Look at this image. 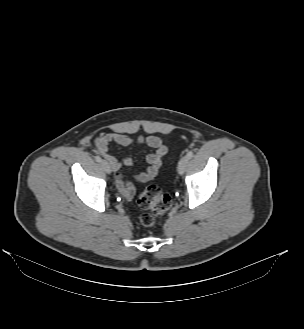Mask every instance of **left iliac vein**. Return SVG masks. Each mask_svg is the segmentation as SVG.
<instances>
[{
  "mask_svg": "<svg viewBox=\"0 0 304 329\" xmlns=\"http://www.w3.org/2000/svg\"><path fill=\"white\" fill-rule=\"evenodd\" d=\"M188 157L187 156H183L181 159H180V161H179V163H178V168H177V170H178V173L180 174V175H182L184 172H185V169H186V167H187V164H188Z\"/></svg>",
  "mask_w": 304,
  "mask_h": 329,
  "instance_id": "4c4485c4",
  "label": "left iliac vein"
}]
</instances>
